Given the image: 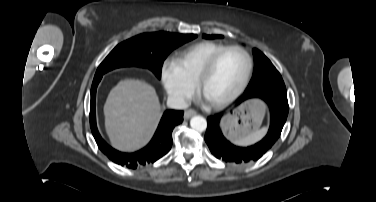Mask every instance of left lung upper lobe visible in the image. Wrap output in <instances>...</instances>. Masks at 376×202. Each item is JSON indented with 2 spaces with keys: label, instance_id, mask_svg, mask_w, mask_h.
<instances>
[{
  "label": "left lung upper lobe",
  "instance_id": "5c2ea615",
  "mask_svg": "<svg viewBox=\"0 0 376 202\" xmlns=\"http://www.w3.org/2000/svg\"><path fill=\"white\" fill-rule=\"evenodd\" d=\"M205 39H218L222 35H202ZM255 57V70L253 77L242 95L249 97L260 93L272 92L278 95L287 96L283 79L270 60L258 49H253Z\"/></svg>",
  "mask_w": 376,
  "mask_h": 202
}]
</instances>
